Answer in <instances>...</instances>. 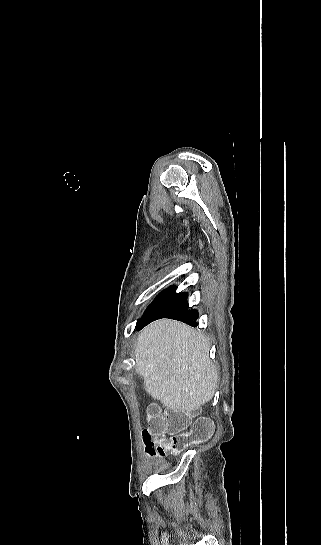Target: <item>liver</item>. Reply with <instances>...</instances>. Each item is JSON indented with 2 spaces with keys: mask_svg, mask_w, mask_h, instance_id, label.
Listing matches in <instances>:
<instances>
[{
  "mask_svg": "<svg viewBox=\"0 0 321 545\" xmlns=\"http://www.w3.org/2000/svg\"><path fill=\"white\" fill-rule=\"evenodd\" d=\"M136 371L146 393L164 407L187 413L214 397L217 371L201 333L171 319H160L138 335Z\"/></svg>",
  "mask_w": 321,
  "mask_h": 545,
  "instance_id": "liver-1",
  "label": "liver"
}]
</instances>
